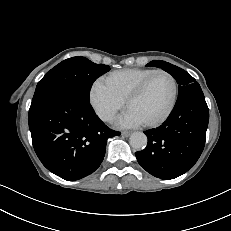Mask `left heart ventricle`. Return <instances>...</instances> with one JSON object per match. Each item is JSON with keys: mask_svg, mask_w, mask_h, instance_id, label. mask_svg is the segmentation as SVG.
<instances>
[{"mask_svg": "<svg viewBox=\"0 0 231 231\" xmlns=\"http://www.w3.org/2000/svg\"><path fill=\"white\" fill-rule=\"evenodd\" d=\"M173 96V83L165 74H156L151 78L143 93L128 106V110L138 116L142 122L160 118L170 106Z\"/></svg>", "mask_w": 231, "mask_h": 231, "instance_id": "b2bd125f", "label": "left heart ventricle"}]
</instances>
